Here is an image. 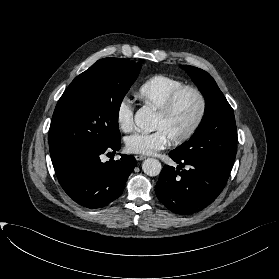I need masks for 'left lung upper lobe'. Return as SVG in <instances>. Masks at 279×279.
<instances>
[{"label":"left lung upper lobe","mask_w":279,"mask_h":279,"mask_svg":"<svg viewBox=\"0 0 279 279\" xmlns=\"http://www.w3.org/2000/svg\"><path fill=\"white\" fill-rule=\"evenodd\" d=\"M205 98V114L189 141L172 152L183 159L212 161L231 170L236 156L237 131L233 109L214 79L204 70L181 66Z\"/></svg>","instance_id":"obj_1"}]
</instances>
